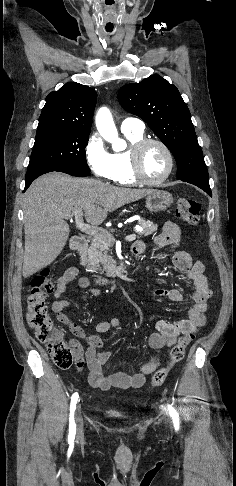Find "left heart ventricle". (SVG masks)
I'll use <instances>...</instances> for the list:
<instances>
[{"instance_id":"obj_1","label":"left heart ventricle","mask_w":236,"mask_h":486,"mask_svg":"<svg viewBox=\"0 0 236 486\" xmlns=\"http://www.w3.org/2000/svg\"><path fill=\"white\" fill-rule=\"evenodd\" d=\"M168 168V160L163 149L156 145H149L142 155V170L151 180L161 178Z\"/></svg>"}]
</instances>
